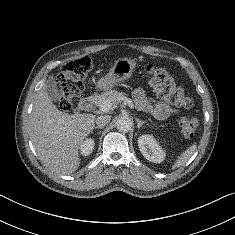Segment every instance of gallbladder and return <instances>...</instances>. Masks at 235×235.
Returning a JSON list of instances; mask_svg holds the SVG:
<instances>
[{
    "label": "gallbladder",
    "mask_w": 235,
    "mask_h": 235,
    "mask_svg": "<svg viewBox=\"0 0 235 235\" xmlns=\"http://www.w3.org/2000/svg\"><path fill=\"white\" fill-rule=\"evenodd\" d=\"M46 91L51 99H56L58 97V90L56 88V79L53 76L49 77L47 80Z\"/></svg>",
    "instance_id": "1"
}]
</instances>
